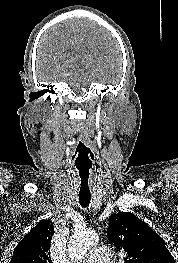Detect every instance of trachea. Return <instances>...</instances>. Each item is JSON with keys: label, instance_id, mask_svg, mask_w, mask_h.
Instances as JSON below:
<instances>
[{"label": "trachea", "instance_id": "3493384b", "mask_svg": "<svg viewBox=\"0 0 178 263\" xmlns=\"http://www.w3.org/2000/svg\"><path fill=\"white\" fill-rule=\"evenodd\" d=\"M78 170V197L82 207H88L91 200V191L89 187L90 169L86 166H76Z\"/></svg>", "mask_w": 178, "mask_h": 263}]
</instances>
